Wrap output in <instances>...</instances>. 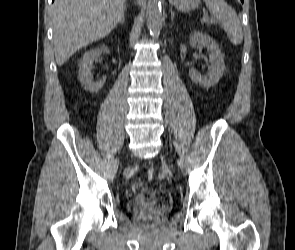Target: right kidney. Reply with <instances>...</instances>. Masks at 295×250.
<instances>
[{
	"label": "right kidney",
	"mask_w": 295,
	"mask_h": 250,
	"mask_svg": "<svg viewBox=\"0 0 295 250\" xmlns=\"http://www.w3.org/2000/svg\"><path fill=\"white\" fill-rule=\"evenodd\" d=\"M101 53H109L105 46L87 51L79 62V80L82 87L90 92H98L104 85L106 77L99 81H93L91 66L97 61Z\"/></svg>",
	"instance_id": "ca27d5eb"
}]
</instances>
